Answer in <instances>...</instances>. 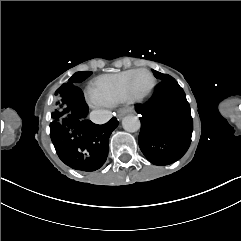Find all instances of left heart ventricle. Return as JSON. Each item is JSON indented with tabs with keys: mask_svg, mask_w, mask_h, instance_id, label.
I'll return each instance as SVG.
<instances>
[{
	"mask_svg": "<svg viewBox=\"0 0 241 241\" xmlns=\"http://www.w3.org/2000/svg\"><path fill=\"white\" fill-rule=\"evenodd\" d=\"M150 84V77L148 75H141L134 81L127 84V91L133 95H143L145 93V88Z\"/></svg>",
	"mask_w": 241,
	"mask_h": 241,
	"instance_id": "left-heart-ventricle-1",
	"label": "left heart ventricle"
}]
</instances>
